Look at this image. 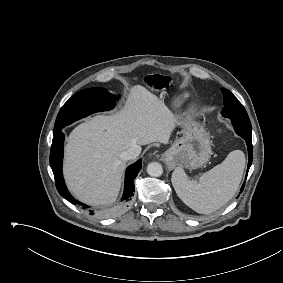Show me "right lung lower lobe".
I'll use <instances>...</instances> for the list:
<instances>
[{
    "label": "right lung lower lobe",
    "mask_w": 283,
    "mask_h": 283,
    "mask_svg": "<svg viewBox=\"0 0 283 283\" xmlns=\"http://www.w3.org/2000/svg\"><path fill=\"white\" fill-rule=\"evenodd\" d=\"M63 147H64V134L60 132L55 135L52 141V147L50 151V165L55 177L56 188L61 196L73 204L82 205L84 208L88 209L89 206L82 204L78 200L74 199L66 188L63 174H62V160H63ZM141 169V159L130 165L126 170L125 175V187L122 200H130L134 195V179L138 175ZM89 212L93 214L94 210L89 209Z\"/></svg>",
    "instance_id": "right-lung-lower-lobe-1"
}]
</instances>
